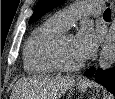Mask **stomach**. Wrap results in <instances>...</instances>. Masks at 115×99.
I'll return each instance as SVG.
<instances>
[{"label": "stomach", "mask_w": 115, "mask_h": 99, "mask_svg": "<svg viewBox=\"0 0 115 99\" xmlns=\"http://www.w3.org/2000/svg\"><path fill=\"white\" fill-rule=\"evenodd\" d=\"M88 89V85L83 84V85H78V90L81 92H85Z\"/></svg>", "instance_id": "stomach-1"}]
</instances>
